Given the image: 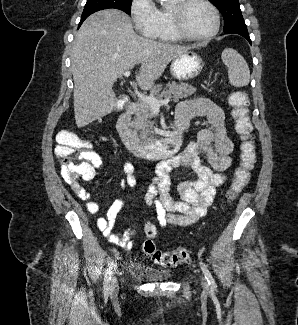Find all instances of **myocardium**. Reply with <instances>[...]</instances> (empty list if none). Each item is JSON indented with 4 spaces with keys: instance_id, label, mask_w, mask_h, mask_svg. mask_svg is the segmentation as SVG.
Wrapping results in <instances>:
<instances>
[{
    "instance_id": "f54148a6",
    "label": "myocardium",
    "mask_w": 298,
    "mask_h": 325,
    "mask_svg": "<svg viewBox=\"0 0 298 325\" xmlns=\"http://www.w3.org/2000/svg\"><path fill=\"white\" fill-rule=\"evenodd\" d=\"M191 3H199L203 5L213 18V29L204 37L190 36L183 30L181 26V11ZM164 7L168 16V29L176 39L196 43H206L211 41L219 31L220 22L218 15L213 6L205 0H171L164 4Z\"/></svg>"
}]
</instances>
